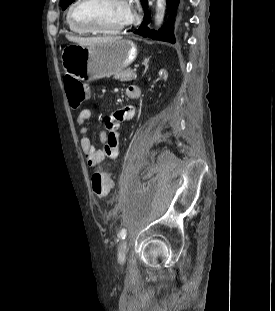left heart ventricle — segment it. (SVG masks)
Segmentation results:
<instances>
[{
    "label": "left heart ventricle",
    "mask_w": 275,
    "mask_h": 311,
    "mask_svg": "<svg viewBox=\"0 0 275 311\" xmlns=\"http://www.w3.org/2000/svg\"><path fill=\"white\" fill-rule=\"evenodd\" d=\"M76 17L98 28L114 29L127 22V3L125 0H95L78 8Z\"/></svg>",
    "instance_id": "left-heart-ventricle-1"
}]
</instances>
